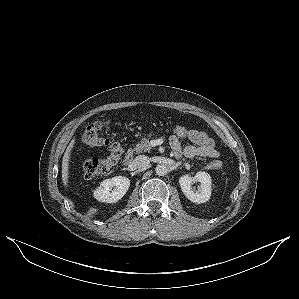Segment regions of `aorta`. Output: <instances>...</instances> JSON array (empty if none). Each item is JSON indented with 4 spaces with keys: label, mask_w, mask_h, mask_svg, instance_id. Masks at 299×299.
<instances>
[{
    "label": "aorta",
    "mask_w": 299,
    "mask_h": 299,
    "mask_svg": "<svg viewBox=\"0 0 299 299\" xmlns=\"http://www.w3.org/2000/svg\"><path fill=\"white\" fill-rule=\"evenodd\" d=\"M156 174L159 176H164L168 173V167L165 164H158L155 168Z\"/></svg>",
    "instance_id": "obj_1"
}]
</instances>
